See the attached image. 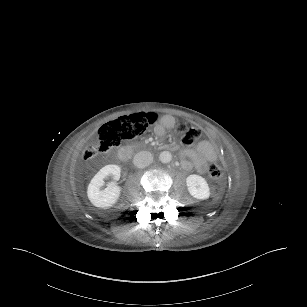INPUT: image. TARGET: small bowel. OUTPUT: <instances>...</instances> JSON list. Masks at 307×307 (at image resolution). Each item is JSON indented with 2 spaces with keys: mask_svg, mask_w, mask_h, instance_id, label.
<instances>
[{
  "mask_svg": "<svg viewBox=\"0 0 307 307\" xmlns=\"http://www.w3.org/2000/svg\"><path fill=\"white\" fill-rule=\"evenodd\" d=\"M173 123H169L172 127ZM182 155L190 158V160H183L182 166L186 170L195 168L200 173H205L210 163L215 162L218 158V153L214 146L206 140L200 141L194 148L185 149Z\"/></svg>",
  "mask_w": 307,
  "mask_h": 307,
  "instance_id": "obj_1",
  "label": "small bowel"
}]
</instances>
